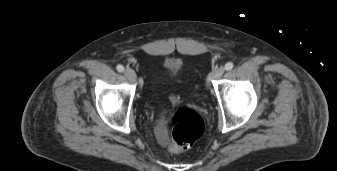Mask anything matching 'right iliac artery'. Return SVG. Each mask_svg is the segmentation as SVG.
<instances>
[{"mask_svg":"<svg viewBox=\"0 0 337 171\" xmlns=\"http://www.w3.org/2000/svg\"><path fill=\"white\" fill-rule=\"evenodd\" d=\"M116 68H117V71H118V72H123V71H124V67H123L122 65H120V64L117 65Z\"/></svg>","mask_w":337,"mask_h":171,"instance_id":"82829eb1","label":"right iliac artery"}]
</instances>
